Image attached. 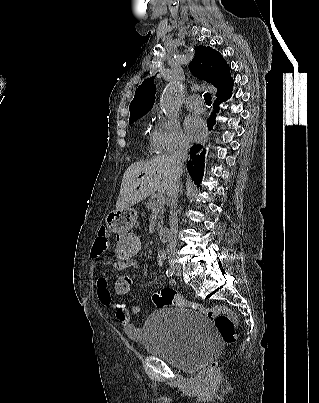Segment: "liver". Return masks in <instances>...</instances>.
<instances>
[{
    "mask_svg": "<svg viewBox=\"0 0 319 403\" xmlns=\"http://www.w3.org/2000/svg\"><path fill=\"white\" fill-rule=\"evenodd\" d=\"M174 176L171 157L166 154L132 163L123 175L116 210L128 209L155 191L169 195Z\"/></svg>",
    "mask_w": 319,
    "mask_h": 403,
    "instance_id": "obj_1",
    "label": "liver"
}]
</instances>
